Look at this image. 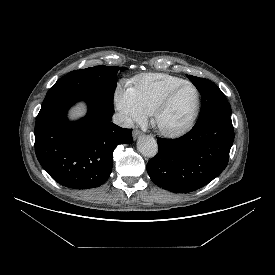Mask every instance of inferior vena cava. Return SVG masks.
I'll return each instance as SVG.
<instances>
[{
    "label": "inferior vena cava",
    "instance_id": "obj_1",
    "mask_svg": "<svg viewBox=\"0 0 275 275\" xmlns=\"http://www.w3.org/2000/svg\"><path fill=\"white\" fill-rule=\"evenodd\" d=\"M113 123L123 128H131L133 126L132 119L123 113H116L113 115Z\"/></svg>",
    "mask_w": 275,
    "mask_h": 275
}]
</instances>
